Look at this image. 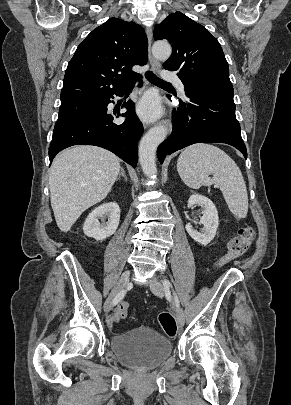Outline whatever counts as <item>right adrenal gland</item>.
I'll return each mask as SVG.
<instances>
[{
	"label": "right adrenal gland",
	"instance_id": "1",
	"mask_svg": "<svg viewBox=\"0 0 291 405\" xmlns=\"http://www.w3.org/2000/svg\"><path fill=\"white\" fill-rule=\"evenodd\" d=\"M120 176H123V177L125 178V180L127 181V176H126V174H125V171H124L123 167H121V172H120V174H119L117 180H119Z\"/></svg>",
	"mask_w": 291,
	"mask_h": 405
}]
</instances>
